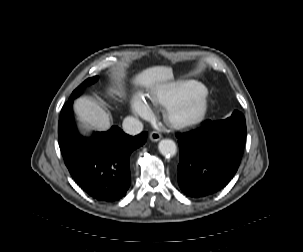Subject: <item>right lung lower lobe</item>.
<instances>
[{
    "mask_svg": "<svg viewBox=\"0 0 303 252\" xmlns=\"http://www.w3.org/2000/svg\"><path fill=\"white\" fill-rule=\"evenodd\" d=\"M71 95L63 106L58 125L59 147L65 164L77 184L92 197L115 201L123 197L130 184V154L147 140V132L125 134L117 126L93 137L81 136L75 126Z\"/></svg>",
    "mask_w": 303,
    "mask_h": 252,
    "instance_id": "obj_1",
    "label": "right lung lower lobe"
}]
</instances>
